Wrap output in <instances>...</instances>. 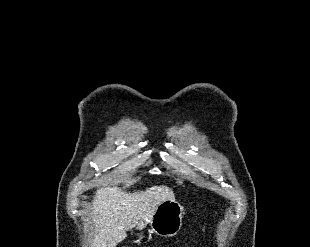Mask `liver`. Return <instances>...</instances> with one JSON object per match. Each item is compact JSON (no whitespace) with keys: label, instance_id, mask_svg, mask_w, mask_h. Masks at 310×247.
<instances>
[{"label":"liver","instance_id":"6515ba94","mask_svg":"<svg viewBox=\"0 0 310 247\" xmlns=\"http://www.w3.org/2000/svg\"><path fill=\"white\" fill-rule=\"evenodd\" d=\"M173 199V190L164 185L133 193L111 186L97 189L91 211L95 232L91 247L117 246L128 230L145 228L157 206Z\"/></svg>","mask_w":310,"mask_h":247}]
</instances>
